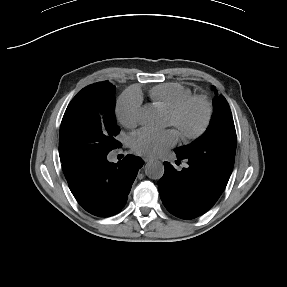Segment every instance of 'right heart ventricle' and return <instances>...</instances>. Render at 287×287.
<instances>
[{
  "label": "right heart ventricle",
  "mask_w": 287,
  "mask_h": 287,
  "mask_svg": "<svg viewBox=\"0 0 287 287\" xmlns=\"http://www.w3.org/2000/svg\"><path fill=\"white\" fill-rule=\"evenodd\" d=\"M150 96L157 106L169 113L192 96V91L181 83L168 82L153 87Z\"/></svg>",
  "instance_id": "e07e8e85"
}]
</instances>
